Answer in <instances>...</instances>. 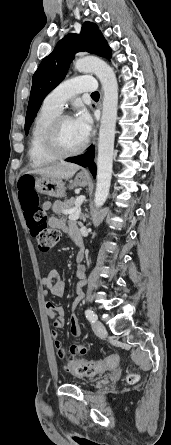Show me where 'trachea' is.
Segmentation results:
<instances>
[{
  "mask_svg": "<svg viewBox=\"0 0 171 445\" xmlns=\"http://www.w3.org/2000/svg\"><path fill=\"white\" fill-rule=\"evenodd\" d=\"M91 96H92V97H99V92H97V91H96V92H93V93L91 94Z\"/></svg>",
  "mask_w": 171,
  "mask_h": 445,
  "instance_id": "3493384b",
  "label": "trachea"
}]
</instances>
